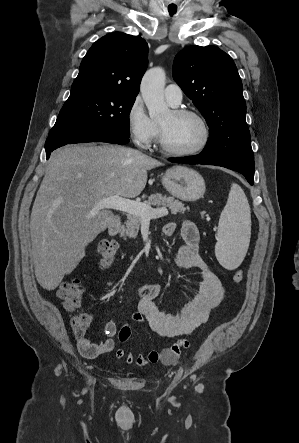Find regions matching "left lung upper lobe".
<instances>
[{"label": "left lung upper lobe", "mask_w": 299, "mask_h": 443, "mask_svg": "<svg viewBox=\"0 0 299 443\" xmlns=\"http://www.w3.org/2000/svg\"><path fill=\"white\" fill-rule=\"evenodd\" d=\"M173 78L210 128L202 156L220 162L254 160L242 82L232 58L216 46H190L173 63Z\"/></svg>", "instance_id": "1"}]
</instances>
